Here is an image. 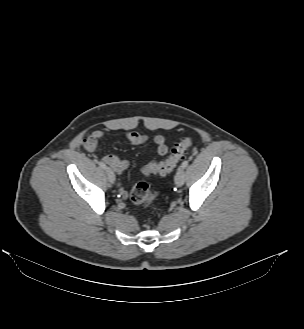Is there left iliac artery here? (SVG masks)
Masks as SVG:
<instances>
[{
  "mask_svg": "<svg viewBox=\"0 0 304 329\" xmlns=\"http://www.w3.org/2000/svg\"><path fill=\"white\" fill-rule=\"evenodd\" d=\"M188 160H185L182 164H181V167L182 168H186L188 166Z\"/></svg>",
  "mask_w": 304,
  "mask_h": 329,
  "instance_id": "obj_1",
  "label": "left iliac artery"
}]
</instances>
